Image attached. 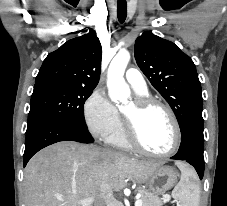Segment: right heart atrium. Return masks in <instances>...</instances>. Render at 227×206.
<instances>
[{
    "label": "right heart atrium",
    "instance_id": "right-heart-atrium-1",
    "mask_svg": "<svg viewBox=\"0 0 227 206\" xmlns=\"http://www.w3.org/2000/svg\"><path fill=\"white\" fill-rule=\"evenodd\" d=\"M83 113L88 130L99 138H106L119 123L117 108L101 90L93 91L87 98Z\"/></svg>",
    "mask_w": 227,
    "mask_h": 206
}]
</instances>
